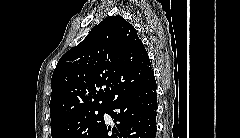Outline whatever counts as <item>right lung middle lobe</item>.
I'll return each mask as SVG.
<instances>
[{
    "label": "right lung middle lobe",
    "mask_w": 240,
    "mask_h": 138,
    "mask_svg": "<svg viewBox=\"0 0 240 138\" xmlns=\"http://www.w3.org/2000/svg\"><path fill=\"white\" fill-rule=\"evenodd\" d=\"M107 111L108 107H94L56 121L51 124L52 138H94L105 124Z\"/></svg>",
    "instance_id": "obj_1"
}]
</instances>
